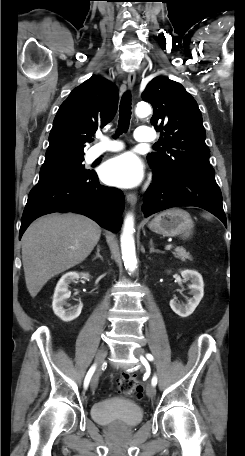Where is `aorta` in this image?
<instances>
[{"mask_svg": "<svg viewBox=\"0 0 245 456\" xmlns=\"http://www.w3.org/2000/svg\"><path fill=\"white\" fill-rule=\"evenodd\" d=\"M136 115L139 117H146L151 114V106L146 102L137 104ZM134 218L133 215L128 214L125 221L123 232L121 234V251L124 265L129 271L133 272L137 267L135 241H134Z\"/></svg>", "mask_w": 245, "mask_h": 456, "instance_id": "aorta-1", "label": "aorta"}]
</instances>
